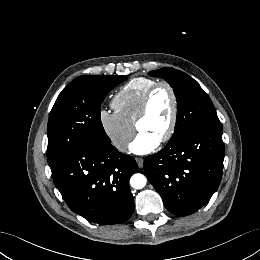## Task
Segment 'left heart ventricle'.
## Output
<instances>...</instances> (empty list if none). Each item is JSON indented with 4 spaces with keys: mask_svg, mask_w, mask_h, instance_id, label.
<instances>
[{
    "mask_svg": "<svg viewBox=\"0 0 260 260\" xmlns=\"http://www.w3.org/2000/svg\"><path fill=\"white\" fill-rule=\"evenodd\" d=\"M171 113V95L166 88H160L152 96L148 113L139 123L138 131L160 141L169 127Z\"/></svg>",
    "mask_w": 260,
    "mask_h": 260,
    "instance_id": "b2bd125f",
    "label": "left heart ventricle"
}]
</instances>
